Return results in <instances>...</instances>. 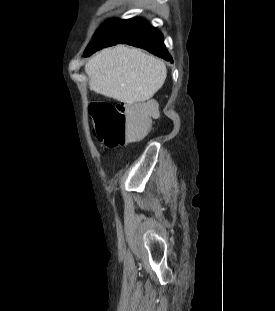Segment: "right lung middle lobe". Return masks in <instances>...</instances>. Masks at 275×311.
<instances>
[{
	"instance_id": "dd1d6c3e",
	"label": "right lung middle lobe",
	"mask_w": 275,
	"mask_h": 311,
	"mask_svg": "<svg viewBox=\"0 0 275 311\" xmlns=\"http://www.w3.org/2000/svg\"><path fill=\"white\" fill-rule=\"evenodd\" d=\"M142 23L143 21L137 19L109 20L97 30L84 55L90 56L102 48L121 43Z\"/></svg>"
}]
</instances>
